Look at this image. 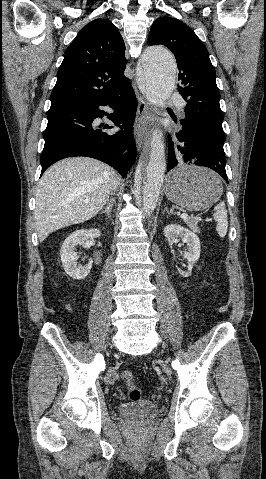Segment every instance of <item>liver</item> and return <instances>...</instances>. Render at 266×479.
<instances>
[{
    "label": "liver",
    "mask_w": 266,
    "mask_h": 479,
    "mask_svg": "<svg viewBox=\"0 0 266 479\" xmlns=\"http://www.w3.org/2000/svg\"><path fill=\"white\" fill-rule=\"evenodd\" d=\"M117 179L111 167L88 157L52 165L36 189L34 218L39 241L56 230L94 217L108 201Z\"/></svg>",
    "instance_id": "6515ba94"
}]
</instances>
